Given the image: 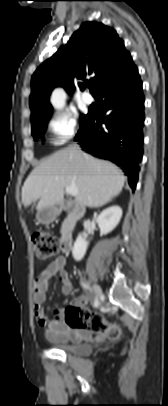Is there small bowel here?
I'll list each match as a JSON object with an SVG mask.
<instances>
[{
	"mask_svg": "<svg viewBox=\"0 0 168 406\" xmlns=\"http://www.w3.org/2000/svg\"><path fill=\"white\" fill-rule=\"evenodd\" d=\"M66 259L63 256L57 257L52 261L37 277L34 283V309L35 316L38 323L46 331V336L53 342H64L69 339L78 340L84 337L92 336V332L79 326H74L65 321L64 314L65 309L55 308L54 317L48 318L46 316L43 303L46 301L47 292L50 288L52 278L58 274L59 281L61 282L62 293L69 297L73 291V285L70 281L69 275L65 270ZM89 302L87 295H81L75 298L71 306L77 308L79 311L85 307ZM104 334L97 333L96 338L98 340L104 339Z\"/></svg>",
	"mask_w": 168,
	"mask_h": 406,
	"instance_id": "small-bowel-1",
	"label": "small bowel"
}]
</instances>
